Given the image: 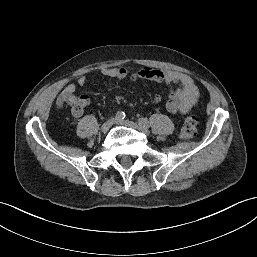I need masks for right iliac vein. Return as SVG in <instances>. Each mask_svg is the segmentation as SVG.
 I'll return each instance as SVG.
<instances>
[{
  "label": "right iliac vein",
  "instance_id": "1",
  "mask_svg": "<svg viewBox=\"0 0 257 257\" xmlns=\"http://www.w3.org/2000/svg\"><path fill=\"white\" fill-rule=\"evenodd\" d=\"M115 123V119L114 118H110L108 119L106 122H104L101 126V131L102 132H107L112 125Z\"/></svg>",
  "mask_w": 257,
  "mask_h": 257
}]
</instances>
